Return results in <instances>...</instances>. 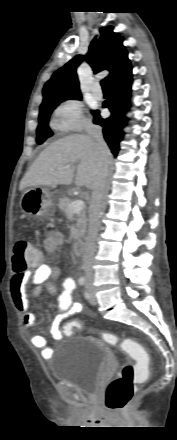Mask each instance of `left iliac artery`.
I'll return each mask as SVG.
<instances>
[{"label": "left iliac artery", "mask_w": 177, "mask_h": 440, "mask_svg": "<svg viewBox=\"0 0 177 440\" xmlns=\"http://www.w3.org/2000/svg\"><path fill=\"white\" fill-rule=\"evenodd\" d=\"M85 296H86V297H88V294H87V293H85Z\"/></svg>", "instance_id": "44dca946"}]
</instances>
